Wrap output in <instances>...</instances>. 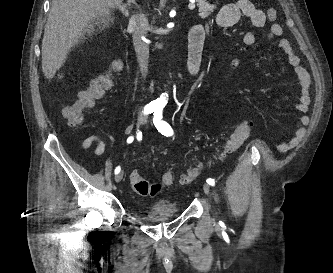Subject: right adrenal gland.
Here are the masks:
<instances>
[{
    "label": "right adrenal gland",
    "mask_w": 333,
    "mask_h": 273,
    "mask_svg": "<svg viewBox=\"0 0 333 273\" xmlns=\"http://www.w3.org/2000/svg\"><path fill=\"white\" fill-rule=\"evenodd\" d=\"M131 3L135 4V0H128L127 4L119 5V10L125 15L126 17H129V11L128 7L131 5Z\"/></svg>",
    "instance_id": "right-adrenal-gland-1"
}]
</instances>
